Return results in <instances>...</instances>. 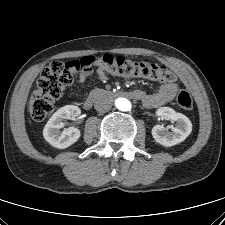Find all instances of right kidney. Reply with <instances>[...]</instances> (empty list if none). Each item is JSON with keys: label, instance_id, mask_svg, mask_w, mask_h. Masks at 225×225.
Wrapping results in <instances>:
<instances>
[{"label": "right kidney", "instance_id": "right-kidney-1", "mask_svg": "<svg viewBox=\"0 0 225 225\" xmlns=\"http://www.w3.org/2000/svg\"><path fill=\"white\" fill-rule=\"evenodd\" d=\"M80 113L79 107L74 105H67L58 109L43 129L45 140L58 149L67 148L77 142L81 135L79 129L75 127L65 128L63 131H60V129L64 126L62 122L64 119L75 120Z\"/></svg>", "mask_w": 225, "mask_h": 225}]
</instances>
